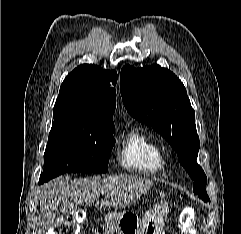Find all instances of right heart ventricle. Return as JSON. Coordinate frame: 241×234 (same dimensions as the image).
Segmentation results:
<instances>
[{
	"mask_svg": "<svg viewBox=\"0 0 241 234\" xmlns=\"http://www.w3.org/2000/svg\"><path fill=\"white\" fill-rule=\"evenodd\" d=\"M117 161L123 169L144 175L158 174L163 168L159 144L152 135L138 128L123 136Z\"/></svg>",
	"mask_w": 241,
	"mask_h": 234,
	"instance_id": "obj_1",
	"label": "right heart ventricle"
}]
</instances>
